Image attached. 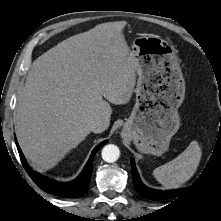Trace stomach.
Returning a JSON list of instances; mask_svg holds the SVG:
<instances>
[{
    "label": "stomach",
    "instance_id": "obj_1",
    "mask_svg": "<svg viewBox=\"0 0 221 221\" xmlns=\"http://www.w3.org/2000/svg\"><path fill=\"white\" fill-rule=\"evenodd\" d=\"M131 53L138 75L136 100L122 136L140 152L160 156L180 127L178 109L185 97V80L174 48L166 40L137 37Z\"/></svg>",
    "mask_w": 221,
    "mask_h": 221
}]
</instances>
